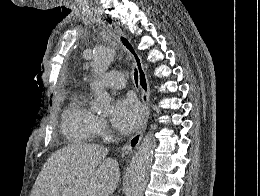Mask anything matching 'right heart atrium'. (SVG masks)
<instances>
[{
	"mask_svg": "<svg viewBox=\"0 0 260 196\" xmlns=\"http://www.w3.org/2000/svg\"><path fill=\"white\" fill-rule=\"evenodd\" d=\"M98 129H106V123L103 119L99 118L96 122ZM133 163V162H132ZM58 192H84V190H57Z\"/></svg>",
	"mask_w": 260,
	"mask_h": 196,
	"instance_id": "obj_1",
	"label": "right heart atrium"
}]
</instances>
